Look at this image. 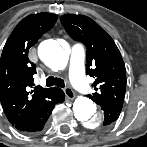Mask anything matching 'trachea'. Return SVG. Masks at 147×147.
<instances>
[{"instance_id": "obj_1", "label": "trachea", "mask_w": 147, "mask_h": 147, "mask_svg": "<svg viewBox=\"0 0 147 147\" xmlns=\"http://www.w3.org/2000/svg\"><path fill=\"white\" fill-rule=\"evenodd\" d=\"M58 86L61 88H64L65 84H64V80L60 79V78H55L53 76H49L46 79V86L50 87V86Z\"/></svg>"}]
</instances>
